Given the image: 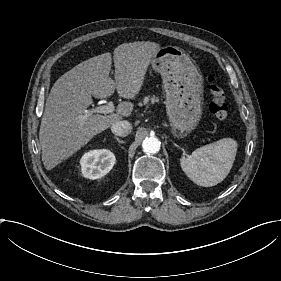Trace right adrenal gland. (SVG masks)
<instances>
[{
  "label": "right adrenal gland",
  "mask_w": 281,
  "mask_h": 281,
  "mask_svg": "<svg viewBox=\"0 0 281 281\" xmlns=\"http://www.w3.org/2000/svg\"><path fill=\"white\" fill-rule=\"evenodd\" d=\"M114 138H115V139L118 141V143H120V144H124V143H125L124 140H120V138L117 137V136H114Z\"/></svg>",
  "instance_id": "2a0ac1e0"
}]
</instances>
